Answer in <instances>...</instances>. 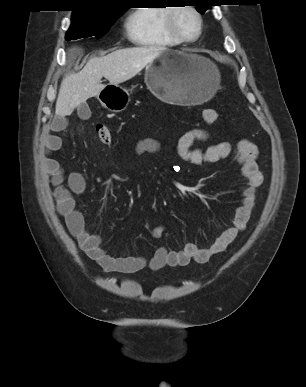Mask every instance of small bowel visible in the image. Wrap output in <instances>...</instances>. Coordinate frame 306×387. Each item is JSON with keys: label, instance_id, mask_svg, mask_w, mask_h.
<instances>
[{"label": "small bowel", "instance_id": "1", "mask_svg": "<svg viewBox=\"0 0 306 387\" xmlns=\"http://www.w3.org/2000/svg\"><path fill=\"white\" fill-rule=\"evenodd\" d=\"M67 126L65 116H57L47 128L42 149V169L51 187L57 212L64 219L65 224L77 241L83 252L106 272L134 273L145 267L159 270L163 267L186 266L190 262L206 263L214 255L224 251L245 230L255 207L256 193L263 181L258 169V149L254 143L243 139L233 147L229 142H220L206 149L195 148L196 142H206L209 133L203 128H194L182 134L177 142L175 154L184 162L193 165L214 163L227 157H233L239 165L245 184L241 188V201L236 209L232 225L227 227L214 242L200 248L194 243H186L181 250L171 251L160 247L148 260L142 256L120 255L114 256L102 248V238L90 233L85 225L82 213L76 208L75 195L82 194L86 189L84 176L72 172L65 176L62 165L52 155L62 147L61 138L55 134ZM138 155L169 151L154 138H143L136 144ZM165 228L156 227L154 236L160 237Z\"/></svg>", "mask_w": 306, "mask_h": 387}]
</instances>
